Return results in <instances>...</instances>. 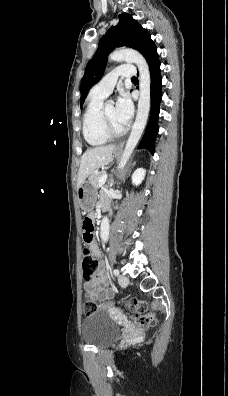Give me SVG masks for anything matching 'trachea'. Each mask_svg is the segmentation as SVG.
Returning <instances> with one entry per match:
<instances>
[{"instance_id": "1", "label": "trachea", "mask_w": 228, "mask_h": 396, "mask_svg": "<svg viewBox=\"0 0 228 396\" xmlns=\"http://www.w3.org/2000/svg\"><path fill=\"white\" fill-rule=\"evenodd\" d=\"M131 80H132V81H137V78H136V77H132Z\"/></svg>"}]
</instances>
